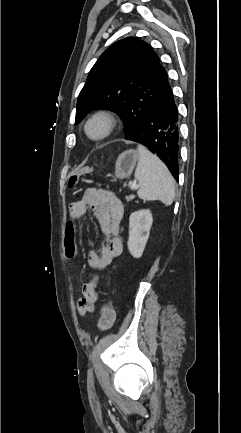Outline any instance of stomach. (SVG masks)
Returning <instances> with one entry per match:
<instances>
[{
  "label": "stomach",
  "instance_id": "0dacf381",
  "mask_svg": "<svg viewBox=\"0 0 241 433\" xmlns=\"http://www.w3.org/2000/svg\"><path fill=\"white\" fill-rule=\"evenodd\" d=\"M138 160V153L135 150H127L121 153L115 163L114 177L116 179L128 178Z\"/></svg>",
  "mask_w": 241,
  "mask_h": 433
}]
</instances>
